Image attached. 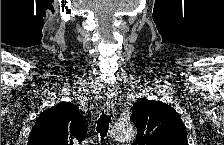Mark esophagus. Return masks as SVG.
Instances as JSON below:
<instances>
[{
    "label": "esophagus",
    "mask_w": 224,
    "mask_h": 145,
    "mask_svg": "<svg viewBox=\"0 0 224 145\" xmlns=\"http://www.w3.org/2000/svg\"><path fill=\"white\" fill-rule=\"evenodd\" d=\"M114 108V93L111 91L108 94L107 102H106V112L111 113Z\"/></svg>",
    "instance_id": "obj_1"
}]
</instances>
